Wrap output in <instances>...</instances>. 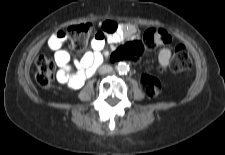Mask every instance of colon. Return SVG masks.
I'll return each instance as SVG.
<instances>
[{
  "mask_svg": "<svg viewBox=\"0 0 225 155\" xmlns=\"http://www.w3.org/2000/svg\"><path fill=\"white\" fill-rule=\"evenodd\" d=\"M65 33L68 35L70 46L75 51H83L87 45L89 38L94 33V25L92 23H80L72 25ZM172 41L171 35L164 29H147L142 37V41H130L119 49L112 52L109 62L112 66L117 67L122 60L125 62H138L143 55L160 45L169 44ZM36 82L41 87H49L55 79V65L51 58L40 55L36 59ZM191 58L188 50L183 45L176 46L170 63V67L174 72H182L190 68ZM142 87L145 93L150 97H157L162 94L165 87L154 77L150 75L142 76Z\"/></svg>",
  "mask_w": 225,
  "mask_h": 155,
  "instance_id": "1",
  "label": "colon"
}]
</instances>
